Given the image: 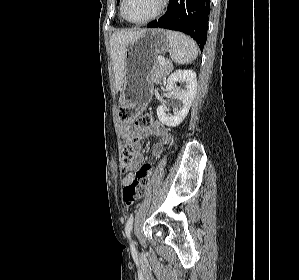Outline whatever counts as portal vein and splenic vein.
Returning <instances> with one entry per match:
<instances>
[{"label":"portal vein and splenic vein","instance_id":"1","mask_svg":"<svg viewBox=\"0 0 299 280\" xmlns=\"http://www.w3.org/2000/svg\"><path fill=\"white\" fill-rule=\"evenodd\" d=\"M158 60H159L161 65H165V58L164 57H159Z\"/></svg>","mask_w":299,"mask_h":280}]
</instances>
